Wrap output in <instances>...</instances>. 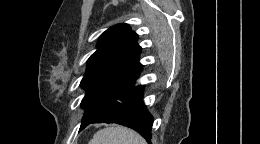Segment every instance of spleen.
I'll return each mask as SVG.
<instances>
[{"label": "spleen", "instance_id": "1", "mask_svg": "<svg viewBox=\"0 0 260 144\" xmlns=\"http://www.w3.org/2000/svg\"><path fill=\"white\" fill-rule=\"evenodd\" d=\"M88 144H146V141L135 131L117 126L100 129Z\"/></svg>", "mask_w": 260, "mask_h": 144}]
</instances>
